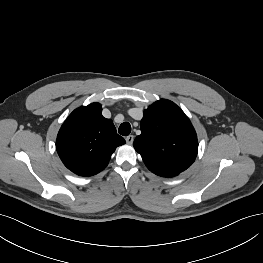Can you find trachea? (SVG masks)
I'll use <instances>...</instances> for the list:
<instances>
[{
  "label": "trachea",
  "mask_w": 263,
  "mask_h": 263,
  "mask_svg": "<svg viewBox=\"0 0 263 263\" xmlns=\"http://www.w3.org/2000/svg\"><path fill=\"white\" fill-rule=\"evenodd\" d=\"M119 134L123 136H128L131 132V125L128 122H124L119 126Z\"/></svg>",
  "instance_id": "trachea-1"
}]
</instances>
